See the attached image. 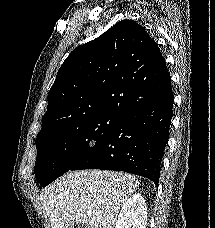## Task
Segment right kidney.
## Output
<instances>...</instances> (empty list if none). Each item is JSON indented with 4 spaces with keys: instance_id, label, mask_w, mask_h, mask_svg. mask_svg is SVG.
<instances>
[{
    "instance_id": "right-kidney-1",
    "label": "right kidney",
    "mask_w": 215,
    "mask_h": 228,
    "mask_svg": "<svg viewBox=\"0 0 215 228\" xmlns=\"http://www.w3.org/2000/svg\"><path fill=\"white\" fill-rule=\"evenodd\" d=\"M147 206L142 194H133L125 200L114 228H146Z\"/></svg>"
}]
</instances>
